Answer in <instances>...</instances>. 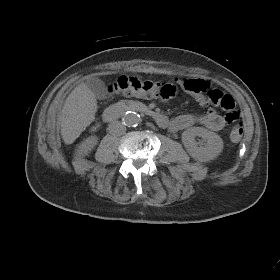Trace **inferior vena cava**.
<instances>
[{
    "instance_id": "inferior-vena-cava-1",
    "label": "inferior vena cava",
    "mask_w": 280,
    "mask_h": 280,
    "mask_svg": "<svg viewBox=\"0 0 280 280\" xmlns=\"http://www.w3.org/2000/svg\"><path fill=\"white\" fill-rule=\"evenodd\" d=\"M108 129L112 135L116 136L123 135L126 132V127L119 121H113Z\"/></svg>"
}]
</instances>
